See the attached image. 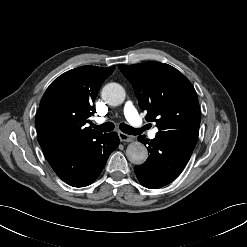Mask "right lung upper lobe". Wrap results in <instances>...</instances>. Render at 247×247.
Instances as JSON below:
<instances>
[{
  "mask_svg": "<svg viewBox=\"0 0 247 247\" xmlns=\"http://www.w3.org/2000/svg\"><path fill=\"white\" fill-rule=\"evenodd\" d=\"M114 69L82 66L65 72L48 87L35 119L38 142L47 160L67 144L102 135L85 124L95 113L93 103L101 84Z\"/></svg>",
  "mask_w": 247,
  "mask_h": 247,
  "instance_id": "1",
  "label": "right lung upper lobe"
}]
</instances>
